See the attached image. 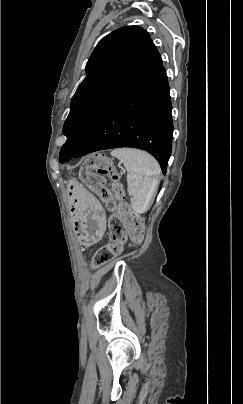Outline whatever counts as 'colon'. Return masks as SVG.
<instances>
[{
	"label": "colon",
	"instance_id": "1",
	"mask_svg": "<svg viewBox=\"0 0 243 404\" xmlns=\"http://www.w3.org/2000/svg\"><path fill=\"white\" fill-rule=\"evenodd\" d=\"M107 173H111L114 180L111 187L105 183L102 176ZM80 178L112 212L109 217L110 243L102 246L92 260L94 267H100L119 255L128 239L133 244L140 243L143 239L144 223L123 201L122 192L116 185L118 176L107 157L101 154L91 156L82 167Z\"/></svg>",
	"mask_w": 243,
	"mask_h": 404
}]
</instances>
